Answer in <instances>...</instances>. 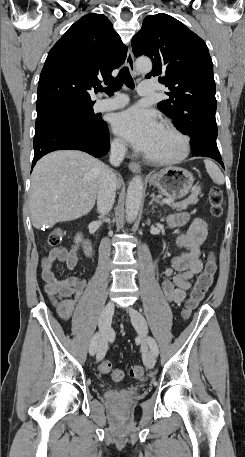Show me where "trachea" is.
Returning a JSON list of instances; mask_svg holds the SVG:
<instances>
[{
	"label": "trachea",
	"mask_w": 245,
	"mask_h": 457,
	"mask_svg": "<svg viewBox=\"0 0 245 457\" xmlns=\"http://www.w3.org/2000/svg\"><path fill=\"white\" fill-rule=\"evenodd\" d=\"M123 83H125L127 87L131 88V90L134 89V81L127 67H124L120 70L118 76L110 85H108V87H106V89L100 87L99 91L102 92L104 90L106 93H108V95H113L114 91L120 90Z\"/></svg>",
	"instance_id": "obj_1"
}]
</instances>
